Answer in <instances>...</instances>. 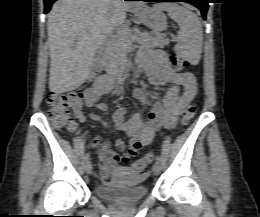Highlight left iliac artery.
<instances>
[{
  "instance_id": "44dca946",
  "label": "left iliac artery",
  "mask_w": 260,
  "mask_h": 217,
  "mask_svg": "<svg viewBox=\"0 0 260 217\" xmlns=\"http://www.w3.org/2000/svg\"><path fill=\"white\" fill-rule=\"evenodd\" d=\"M156 162H157V163H160V162H161L160 156H157V157H156Z\"/></svg>"
}]
</instances>
